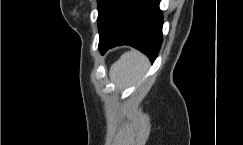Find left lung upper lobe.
Wrapping results in <instances>:
<instances>
[{
  "label": "left lung upper lobe",
  "instance_id": "left-lung-upper-lobe-1",
  "mask_svg": "<svg viewBox=\"0 0 243 145\" xmlns=\"http://www.w3.org/2000/svg\"><path fill=\"white\" fill-rule=\"evenodd\" d=\"M129 0H98L99 35L107 33L114 20Z\"/></svg>",
  "mask_w": 243,
  "mask_h": 145
}]
</instances>
